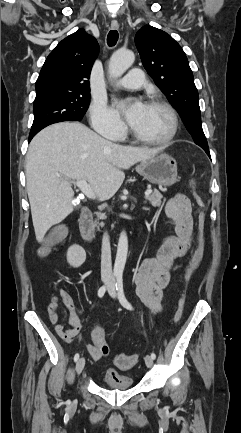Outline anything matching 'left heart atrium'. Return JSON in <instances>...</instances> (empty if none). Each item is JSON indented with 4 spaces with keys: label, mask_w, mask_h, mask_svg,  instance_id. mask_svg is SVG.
Segmentation results:
<instances>
[{
    "label": "left heart atrium",
    "mask_w": 241,
    "mask_h": 433,
    "mask_svg": "<svg viewBox=\"0 0 241 433\" xmlns=\"http://www.w3.org/2000/svg\"><path fill=\"white\" fill-rule=\"evenodd\" d=\"M116 108L123 113L128 123L133 127L142 115L146 105L136 100L134 102H128L124 100L115 102Z\"/></svg>",
    "instance_id": "39dd6f15"
}]
</instances>
